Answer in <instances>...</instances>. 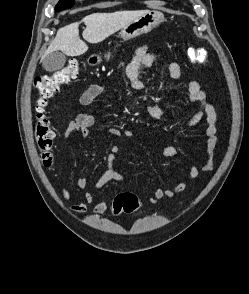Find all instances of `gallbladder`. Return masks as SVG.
Here are the masks:
<instances>
[{
	"label": "gallbladder",
	"mask_w": 249,
	"mask_h": 294,
	"mask_svg": "<svg viewBox=\"0 0 249 294\" xmlns=\"http://www.w3.org/2000/svg\"><path fill=\"white\" fill-rule=\"evenodd\" d=\"M66 63V56L61 51H54L42 60L43 68L48 72H55L64 67Z\"/></svg>",
	"instance_id": "gallbladder-1"
}]
</instances>
